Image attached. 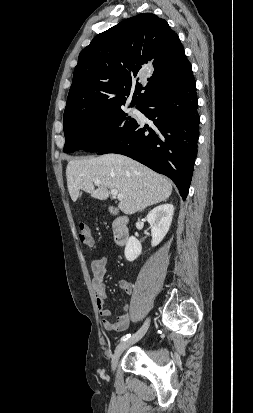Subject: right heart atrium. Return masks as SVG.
Masks as SVG:
<instances>
[{"instance_id": "1", "label": "right heart atrium", "mask_w": 253, "mask_h": 413, "mask_svg": "<svg viewBox=\"0 0 253 413\" xmlns=\"http://www.w3.org/2000/svg\"><path fill=\"white\" fill-rule=\"evenodd\" d=\"M106 131V125L101 124L97 127V132L104 133Z\"/></svg>"}]
</instances>
